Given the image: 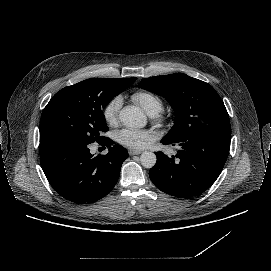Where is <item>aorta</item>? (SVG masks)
<instances>
[{
  "instance_id": "aorta-1",
  "label": "aorta",
  "mask_w": 271,
  "mask_h": 271,
  "mask_svg": "<svg viewBox=\"0 0 271 271\" xmlns=\"http://www.w3.org/2000/svg\"><path fill=\"white\" fill-rule=\"evenodd\" d=\"M121 123L131 129V128H141L147 123V118L143 114L139 106L136 105H126L124 106L118 114ZM157 161L156 155L151 151L143 152L140 156L141 165L150 169L155 166Z\"/></svg>"
}]
</instances>
